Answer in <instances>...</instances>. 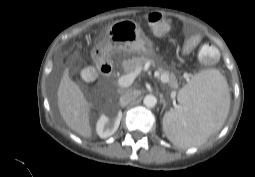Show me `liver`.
<instances>
[{"label": "liver", "instance_id": "1", "mask_svg": "<svg viewBox=\"0 0 255 177\" xmlns=\"http://www.w3.org/2000/svg\"><path fill=\"white\" fill-rule=\"evenodd\" d=\"M60 114L69 128L85 138L92 136L89 117L91 104L84 97L79 86L70 79L65 69L57 91Z\"/></svg>", "mask_w": 255, "mask_h": 177}]
</instances>
